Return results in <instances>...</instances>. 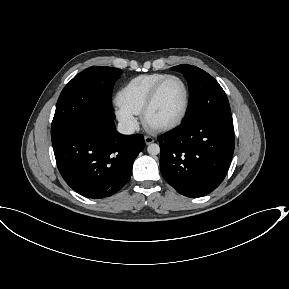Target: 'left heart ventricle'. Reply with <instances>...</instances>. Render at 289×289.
I'll use <instances>...</instances> for the list:
<instances>
[{"label": "left heart ventricle", "instance_id": "1", "mask_svg": "<svg viewBox=\"0 0 289 289\" xmlns=\"http://www.w3.org/2000/svg\"><path fill=\"white\" fill-rule=\"evenodd\" d=\"M185 93L182 84L171 79L161 88L157 99L149 112L148 121L151 125H163L175 120L184 105Z\"/></svg>", "mask_w": 289, "mask_h": 289}]
</instances>
